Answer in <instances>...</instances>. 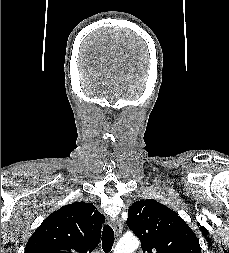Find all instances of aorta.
Segmentation results:
<instances>
[{
  "instance_id": "obj_1",
  "label": "aorta",
  "mask_w": 229,
  "mask_h": 253,
  "mask_svg": "<svg viewBox=\"0 0 229 253\" xmlns=\"http://www.w3.org/2000/svg\"><path fill=\"white\" fill-rule=\"evenodd\" d=\"M139 246V241L132 238L121 239L114 248V253H133Z\"/></svg>"
}]
</instances>
